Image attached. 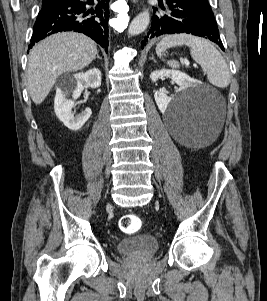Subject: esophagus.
I'll list each match as a JSON object with an SVG mask.
<instances>
[{
    "instance_id": "obj_1",
    "label": "esophagus",
    "mask_w": 267,
    "mask_h": 301,
    "mask_svg": "<svg viewBox=\"0 0 267 301\" xmlns=\"http://www.w3.org/2000/svg\"><path fill=\"white\" fill-rule=\"evenodd\" d=\"M134 3H137L138 2V0H132Z\"/></svg>"
}]
</instances>
